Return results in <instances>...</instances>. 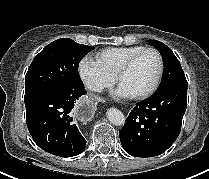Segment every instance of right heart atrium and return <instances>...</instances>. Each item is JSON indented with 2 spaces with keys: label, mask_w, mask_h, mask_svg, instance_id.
Instances as JSON below:
<instances>
[{
  "label": "right heart atrium",
  "mask_w": 209,
  "mask_h": 179,
  "mask_svg": "<svg viewBox=\"0 0 209 179\" xmlns=\"http://www.w3.org/2000/svg\"><path fill=\"white\" fill-rule=\"evenodd\" d=\"M78 70L85 86L91 91L100 92L113 83V77L89 57H84L80 61Z\"/></svg>",
  "instance_id": "obj_1"
}]
</instances>
